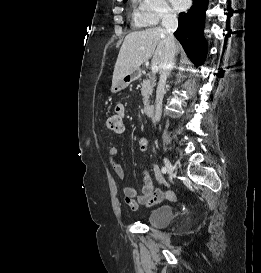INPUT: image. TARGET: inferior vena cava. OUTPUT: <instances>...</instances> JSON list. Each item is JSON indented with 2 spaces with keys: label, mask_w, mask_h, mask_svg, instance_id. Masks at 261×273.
Returning a JSON list of instances; mask_svg holds the SVG:
<instances>
[{
  "label": "inferior vena cava",
  "mask_w": 261,
  "mask_h": 273,
  "mask_svg": "<svg viewBox=\"0 0 261 273\" xmlns=\"http://www.w3.org/2000/svg\"><path fill=\"white\" fill-rule=\"evenodd\" d=\"M162 27L165 29L167 33L166 39V50L164 60L160 65V77L159 83L156 91V101H155V115H154V123L158 122L161 118L162 112V101L163 95L165 92V85L167 76L171 72L175 63V38L173 33L178 28V19L175 13L171 10H167L164 12L162 17Z\"/></svg>",
  "instance_id": "inferior-vena-cava-1"
}]
</instances>
